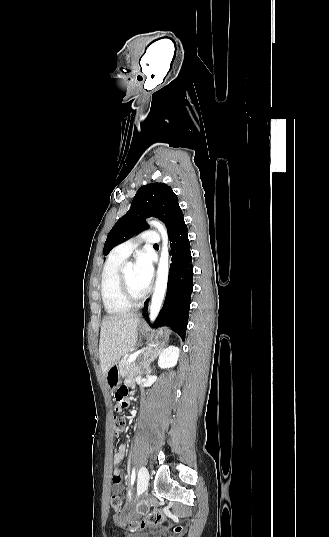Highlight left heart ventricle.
Masks as SVG:
<instances>
[{
  "label": "left heart ventricle",
  "instance_id": "obj_1",
  "mask_svg": "<svg viewBox=\"0 0 329 537\" xmlns=\"http://www.w3.org/2000/svg\"><path fill=\"white\" fill-rule=\"evenodd\" d=\"M125 277H126L129 292L133 296L139 297L145 292L137 282L133 265L126 266Z\"/></svg>",
  "mask_w": 329,
  "mask_h": 537
}]
</instances>
